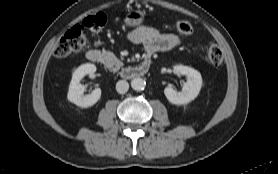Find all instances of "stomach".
<instances>
[{"mask_svg": "<svg viewBox=\"0 0 278 174\" xmlns=\"http://www.w3.org/2000/svg\"><path fill=\"white\" fill-rule=\"evenodd\" d=\"M144 13L140 10H130L125 17V23L129 27H136L144 21Z\"/></svg>", "mask_w": 278, "mask_h": 174, "instance_id": "stomach-1", "label": "stomach"}]
</instances>
